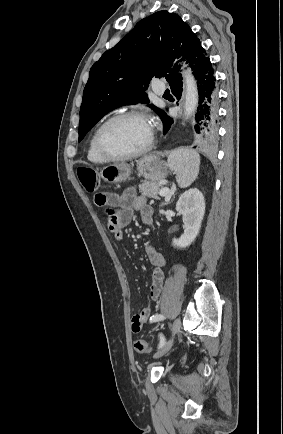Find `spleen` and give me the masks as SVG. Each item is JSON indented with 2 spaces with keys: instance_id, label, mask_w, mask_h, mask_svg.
I'll use <instances>...</instances> for the list:
<instances>
[{
  "instance_id": "1",
  "label": "spleen",
  "mask_w": 283,
  "mask_h": 434,
  "mask_svg": "<svg viewBox=\"0 0 283 434\" xmlns=\"http://www.w3.org/2000/svg\"><path fill=\"white\" fill-rule=\"evenodd\" d=\"M168 166L176 175L179 186L186 188L198 176L200 155L192 149H177L169 155Z\"/></svg>"
}]
</instances>
